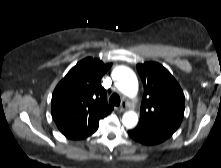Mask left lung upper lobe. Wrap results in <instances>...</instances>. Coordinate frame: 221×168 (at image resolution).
I'll return each mask as SVG.
<instances>
[{
	"label": "left lung upper lobe",
	"instance_id": "left-lung-upper-lobe-1",
	"mask_svg": "<svg viewBox=\"0 0 221 168\" xmlns=\"http://www.w3.org/2000/svg\"><path fill=\"white\" fill-rule=\"evenodd\" d=\"M144 85L140 120L136 128L169 138L184 116L185 97L175 78L161 64H138Z\"/></svg>",
	"mask_w": 221,
	"mask_h": 168
}]
</instances>
